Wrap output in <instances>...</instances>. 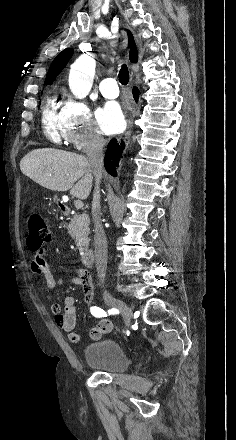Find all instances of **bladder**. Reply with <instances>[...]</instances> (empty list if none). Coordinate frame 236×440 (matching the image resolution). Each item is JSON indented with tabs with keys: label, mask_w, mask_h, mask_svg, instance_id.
Instances as JSON below:
<instances>
[{
	"label": "bladder",
	"mask_w": 236,
	"mask_h": 440,
	"mask_svg": "<svg viewBox=\"0 0 236 440\" xmlns=\"http://www.w3.org/2000/svg\"><path fill=\"white\" fill-rule=\"evenodd\" d=\"M84 359L88 365L108 373L124 372L129 365L123 347L110 339L88 344L84 350Z\"/></svg>",
	"instance_id": "obj_1"
}]
</instances>
